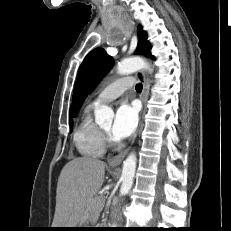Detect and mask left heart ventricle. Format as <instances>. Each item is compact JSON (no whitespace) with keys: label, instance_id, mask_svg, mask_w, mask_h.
Instances as JSON below:
<instances>
[{"label":"left heart ventricle","instance_id":"left-heart-ventricle-1","mask_svg":"<svg viewBox=\"0 0 231 231\" xmlns=\"http://www.w3.org/2000/svg\"><path fill=\"white\" fill-rule=\"evenodd\" d=\"M103 130H105L106 132H108L110 134L111 131V123L105 125L102 127Z\"/></svg>","mask_w":231,"mask_h":231}]
</instances>
